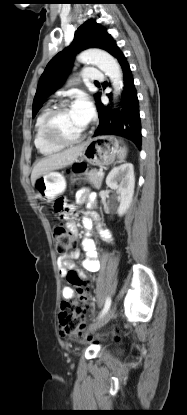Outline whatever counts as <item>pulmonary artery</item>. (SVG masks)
<instances>
[{"instance_id":"obj_1","label":"pulmonary artery","mask_w":187,"mask_h":415,"mask_svg":"<svg viewBox=\"0 0 187 415\" xmlns=\"http://www.w3.org/2000/svg\"><path fill=\"white\" fill-rule=\"evenodd\" d=\"M84 76L93 82H100L104 79V73L94 67H88L85 69Z\"/></svg>"}]
</instances>
